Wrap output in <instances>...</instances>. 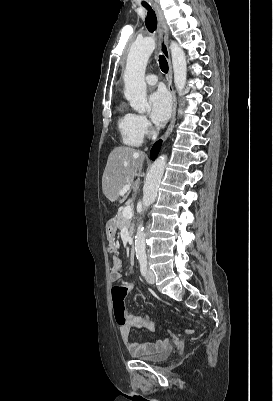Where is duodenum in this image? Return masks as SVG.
<instances>
[{
  "mask_svg": "<svg viewBox=\"0 0 273 401\" xmlns=\"http://www.w3.org/2000/svg\"><path fill=\"white\" fill-rule=\"evenodd\" d=\"M129 259L131 262H134L135 260V248L134 246H131L130 250H129Z\"/></svg>",
  "mask_w": 273,
  "mask_h": 401,
  "instance_id": "duodenum-1",
  "label": "duodenum"
}]
</instances>
